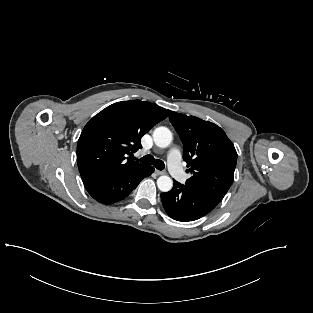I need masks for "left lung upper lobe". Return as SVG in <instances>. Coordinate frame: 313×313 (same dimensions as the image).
Instances as JSON below:
<instances>
[{
    "label": "left lung upper lobe",
    "mask_w": 313,
    "mask_h": 313,
    "mask_svg": "<svg viewBox=\"0 0 313 313\" xmlns=\"http://www.w3.org/2000/svg\"><path fill=\"white\" fill-rule=\"evenodd\" d=\"M169 119L183 143L188 172L193 174L186 185L222 200L234 178L237 152L233 143L212 122L173 111Z\"/></svg>",
    "instance_id": "1"
}]
</instances>
